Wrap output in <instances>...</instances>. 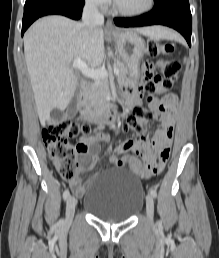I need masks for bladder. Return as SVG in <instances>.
Masks as SVG:
<instances>
[{
	"label": "bladder",
	"instance_id": "bladder-1",
	"mask_svg": "<svg viewBox=\"0 0 219 258\" xmlns=\"http://www.w3.org/2000/svg\"><path fill=\"white\" fill-rule=\"evenodd\" d=\"M143 200L141 180L130 171L114 168L89 181L82 205L91 215L116 223L133 217L142 207Z\"/></svg>",
	"mask_w": 219,
	"mask_h": 258
}]
</instances>
